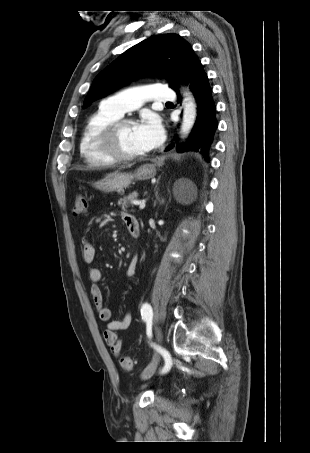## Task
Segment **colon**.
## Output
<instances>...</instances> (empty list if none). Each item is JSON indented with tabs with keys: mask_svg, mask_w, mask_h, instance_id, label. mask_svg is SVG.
Masks as SVG:
<instances>
[{
	"mask_svg": "<svg viewBox=\"0 0 310 453\" xmlns=\"http://www.w3.org/2000/svg\"><path fill=\"white\" fill-rule=\"evenodd\" d=\"M87 208H88L87 199L82 195L77 196L75 198L73 206L74 214L76 215L82 214L86 212ZM119 363L122 369L125 371H131L134 368V360L129 356H121L119 358Z\"/></svg>",
	"mask_w": 310,
	"mask_h": 453,
	"instance_id": "colon-1",
	"label": "colon"
}]
</instances>
